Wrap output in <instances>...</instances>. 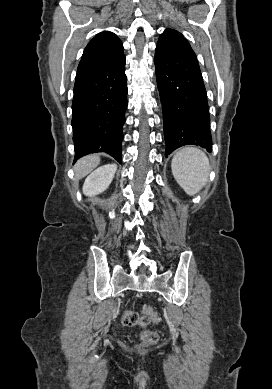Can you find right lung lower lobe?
I'll list each match as a JSON object with an SVG mask.
<instances>
[{"label": "right lung lower lobe", "mask_w": 272, "mask_h": 389, "mask_svg": "<svg viewBox=\"0 0 272 389\" xmlns=\"http://www.w3.org/2000/svg\"><path fill=\"white\" fill-rule=\"evenodd\" d=\"M126 80L125 55L77 72L71 123L75 160L90 153L106 152L121 163Z\"/></svg>", "instance_id": "1"}]
</instances>
